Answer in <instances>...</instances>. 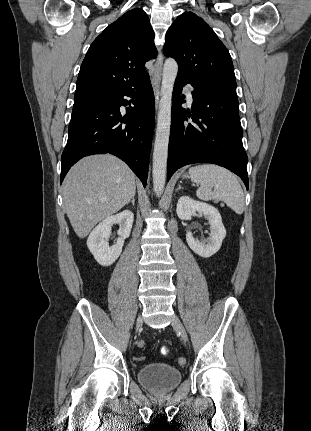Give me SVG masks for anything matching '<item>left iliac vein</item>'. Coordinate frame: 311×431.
<instances>
[{"mask_svg":"<svg viewBox=\"0 0 311 431\" xmlns=\"http://www.w3.org/2000/svg\"><path fill=\"white\" fill-rule=\"evenodd\" d=\"M173 328L177 330L184 341H187L188 336L185 327L177 316H173L171 322Z\"/></svg>","mask_w":311,"mask_h":431,"instance_id":"1","label":"left iliac vein"}]
</instances>
